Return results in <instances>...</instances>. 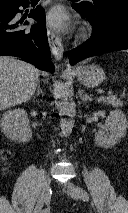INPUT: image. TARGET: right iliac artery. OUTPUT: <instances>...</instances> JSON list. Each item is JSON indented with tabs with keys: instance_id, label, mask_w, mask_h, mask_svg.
Returning <instances> with one entry per match:
<instances>
[{
	"instance_id": "right-iliac-artery-1",
	"label": "right iliac artery",
	"mask_w": 128,
	"mask_h": 213,
	"mask_svg": "<svg viewBox=\"0 0 128 213\" xmlns=\"http://www.w3.org/2000/svg\"><path fill=\"white\" fill-rule=\"evenodd\" d=\"M50 192H51V191H50ZM46 212H47V210H44V211H43V213H46Z\"/></svg>"
}]
</instances>
